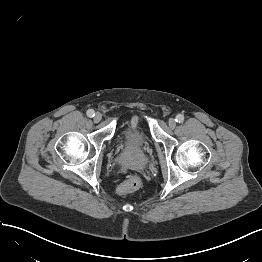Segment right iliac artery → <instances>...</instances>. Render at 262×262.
<instances>
[{
	"label": "right iliac artery",
	"instance_id": "right-iliac-artery-1",
	"mask_svg": "<svg viewBox=\"0 0 262 262\" xmlns=\"http://www.w3.org/2000/svg\"><path fill=\"white\" fill-rule=\"evenodd\" d=\"M94 115H95L94 110L89 109V110L87 111V116H88V117H93Z\"/></svg>",
	"mask_w": 262,
	"mask_h": 262
}]
</instances>
